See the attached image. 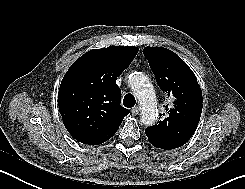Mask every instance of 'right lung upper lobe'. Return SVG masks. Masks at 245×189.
I'll list each match as a JSON object with an SVG mask.
<instances>
[{
	"label": "right lung upper lobe",
	"instance_id": "obj_1",
	"mask_svg": "<svg viewBox=\"0 0 245 189\" xmlns=\"http://www.w3.org/2000/svg\"><path fill=\"white\" fill-rule=\"evenodd\" d=\"M134 46H110L82 55L66 72L58 105L63 123L77 141L98 145L109 140L130 112L123 108L117 77L138 53Z\"/></svg>",
	"mask_w": 245,
	"mask_h": 189
}]
</instances>
